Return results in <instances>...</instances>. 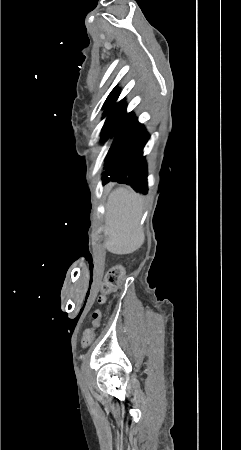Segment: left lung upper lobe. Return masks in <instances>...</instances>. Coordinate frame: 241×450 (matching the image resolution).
I'll return each instance as SVG.
<instances>
[{"label": "left lung upper lobe", "instance_id": "1", "mask_svg": "<svg viewBox=\"0 0 241 450\" xmlns=\"http://www.w3.org/2000/svg\"><path fill=\"white\" fill-rule=\"evenodd\" d=\"M117 88H114L104 103V107L118 94Z\"/></svg>", "mask_w": 241, "mask_h": 450}]
</instances>
